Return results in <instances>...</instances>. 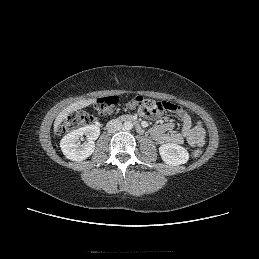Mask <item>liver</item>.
I'll return each instance as SVG.
<instances>
[{"mask_svg":"<svg viewBox=\"0 0 259 259\" xmlns=\"http://www.w3.org/2000/svg\"><path fill=\"white\" fill-rule=\"evenodd\" d=\"M95 99L88 100H80L70 104L68 107L64 108L56 117L54 121V132H58V127L60 124L69 116L72 112H75L79 109L85 108L93 103H95Z\"/></svg>","mask_w":259,"mask_h":259,"instance_id":"liver-1","label":"liver"}]
</instances>
